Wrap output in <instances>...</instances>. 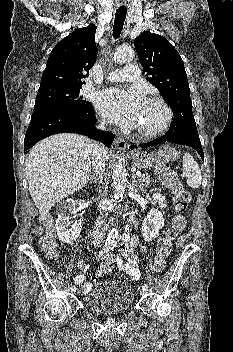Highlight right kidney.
Returning <instances> with one entry per match:
<instances>
[{"mask_svg":"<svg viewBox=\"0 0 233 352\" xmlns=\"http://www.w3.org/2000/svg\"><path fill=\"white\" fill-rule=\"evenodd\" d=\"M69 213L62 212L58 215V219L56 220V230L57 235L60 241L64 243H71L78 238L81 232L82 223L80 221L75 220L71 222L72 218L71 214L75 209L74 202L71 201V205H69Z\"/></svg>","mask_w":233,"mask_h":352,"instance_id":"obj_1","label":"right kidney"}]
</instances>
